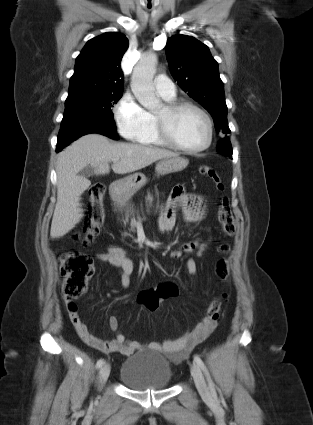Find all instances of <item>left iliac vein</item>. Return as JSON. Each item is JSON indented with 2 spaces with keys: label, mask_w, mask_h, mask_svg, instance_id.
Masks as SVG:
<instances>
[{
  "label": "left iliac vein",
  "mask_w": 313,
  "mask_h": 425,
  "mask_svg": "<svg viewBox=\"0 0 313 425\" xmlns=\"http://www.w3.org/2000/svg\"><path fill=\"white\" fill-rule=\"evenodd\" d=\"M191 374L194 379L195 385L197 387L198 392L204 398H210L211 394L209 392L208 386L206 384L205 378L196 363L191 365Z\"/></svg>",
  "instance_id": "1"
}]
</instances>
